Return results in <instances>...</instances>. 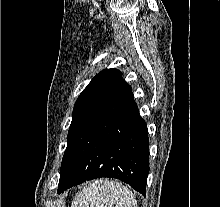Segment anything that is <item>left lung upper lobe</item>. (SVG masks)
<instances>
[{
  "label": "left lung upper lobe",
  "mask_w": 220,
  "mask_h": 207,
  "mask_svg": "<svg viewBox=\"0 0 220 207\" xmlns=\"http://www.w3.org/2000/svg\"><path fill=\"white\" fill-rule=\"evenodd\" d=\"M121 76L116 69H105L91 80L75 103L67 142Z\"/></svg>",
  "instance_id": "left-lung-upper-lobe-1"
}]
</instances>
